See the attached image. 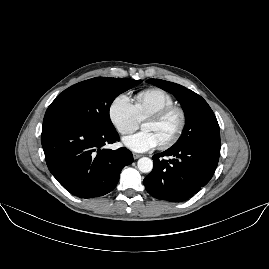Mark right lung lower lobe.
Here are the masks:
<instances>
[{"label":"right lung lower lobe","mask_w":269,"mask_h":269,"mask_svg":"<svg viewBox=\"0 0 269 269\" xmlns=\"http://www.w3.org/2000/svg\"><path fill=\"white\" fill-rule=\"evenodd\" d=\"M119 140L115 130H100L56 110L45 113L41 142L47 166L67 191L80 198L112 191L121 170L132 163L126 148L103 149Z\"/></svg>","instance_id":"obj_1"}]
</instances>
